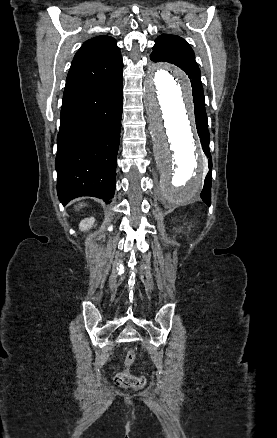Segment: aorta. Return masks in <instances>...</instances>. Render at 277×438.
I'll use <instances>...</instances> for the list:
<instances>
[{
    "label": "aorta",
    "instance_id": "obj_1",
    "mask_svg": "<svg viewBox=\"0 0 277 438\" xmlns=\"http://www.w3.org/2000/svg\"><path fill=\"white\" fill-rule=\"evenodd\" d=\"M144 95L161 172V196L173 204L184 203L199 192L207 168L195 128L190 81L180 70L152 65Z\"/></svg>",
    "mask_w": 277,
    "mask_h": 438
}]
</instances>
